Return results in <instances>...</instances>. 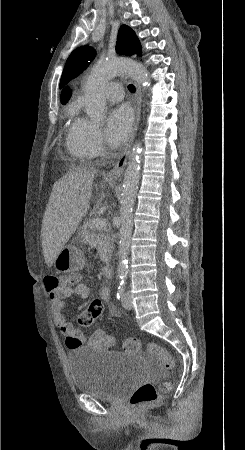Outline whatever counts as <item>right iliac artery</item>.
Here are the masks:
<instances>
[{
  "instance_id": "obj_1",
  "label": "right iliac artery",
  "mask_w": 245,
  "mask_h": 450,
  "mask_svg": "<svg viewBox=\"0 0 245 450\" xmlns=\"http://www.w3.org/2000/svg\"><path fill=\"white\" fill-rule=\"evenodd\" d=\"M119 279H123V276H119Z\"/></svg>"
}]
</instances>
